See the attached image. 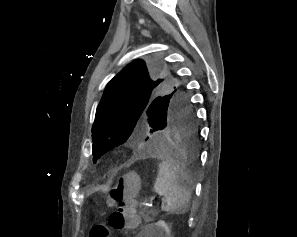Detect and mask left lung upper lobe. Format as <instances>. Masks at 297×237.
Listing matches in <instances>:
<instances>
[{
    "label": "left lung upper lobe",
    "instance_id": "5c2ea615",
    "mask_svg": "<svg viewBox=\"0 0 297 237\" xmlns=\"http://www.w3.org/2000/svg\"><path fill=\"white\" fill-rule=\"evenodd\" d=\"M178 103H191L171 70L156 61L137 59L106 86L92 127L94 163L124 146L139 156L149 138Z\"/></svg>",
    "mask_w": 297,
    "mask_h": 237
}]
</instances>
